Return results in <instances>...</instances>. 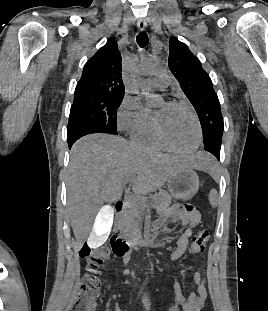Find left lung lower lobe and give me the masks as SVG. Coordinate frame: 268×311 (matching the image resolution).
<instances>
[{
    "instance_id": "0a47b994",
    "label": "left lung lower lobe",
    "mask_w": 268,
    "mask_h": 311,
    "mask_svg": "<svg viewBox=\"0 0 268 311\" xmlns=\"http://www.w3.org/2000/svg\"><path fill=\"white\" fill-rule=\"evenodd\" d=\"M206 151L212 153L217 159H220V149L221 147H216L212 145L205 146Z\"/></svg>"
}]
</instances>
